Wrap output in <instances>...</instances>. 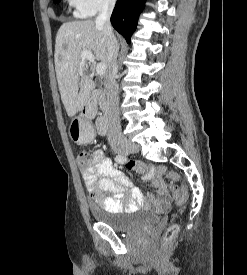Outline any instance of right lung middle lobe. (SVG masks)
Here are the masks:
<instances>
[{
  "label": "right lung middle lobe",
  "mask_w": 247,
  "mask_h": 275,
  "mask_svg": "<svg viewBox=\"0 0 247 275\" xmlns=\"http://www.w3.org/2000/svg\"><path fill=\"white\" fill-rule=\"evenodd\" d=\"M58 2H60V0H54V3H58Z\"/></svg>",
  "instance_id": "right-lung-middle-lobe-1"
}]
</instances>
